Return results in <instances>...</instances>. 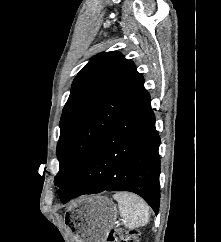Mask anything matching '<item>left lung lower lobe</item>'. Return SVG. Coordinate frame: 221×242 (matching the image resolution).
<instances>
[{
    "label": "left lung lower lobe",
    "mask_w": 221,
    "mask_h": 242,
    "mask_svg": "<svg viewBox=\"0 0 221 242\" xmlns=\"http://www.w3.org/2000/svg\"><path fill=\"white\" fill-rule=\"evenodd\" d=\"M160 137L148 92L121 116L93 146L77 179L61 202L107 191H130L158 213L160 204Z\"/></svg>",
    "instance_id": "1"
}]
</instances>
